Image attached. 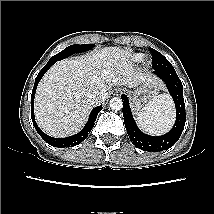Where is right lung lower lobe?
<instances>
[{
	"label": "right lung lower lobe",
	"instance_id": "98d812e1",
	"mask_svg": "<svg viewBox=\"0 0 214 214\" xmlns=\"http://www.w3.org/2000/svg\"><path fill=\"white\" fill-rule=\"evenodd\" d=\"M54 63L55 62H53V61H48V63L41 69V71L39 72V74L37 75V77L35 79V84H34L32 95H31V118H32V122H33V125H34L36 131L43 138V140H45L47 143H49L50 145L55 146V147H72V146L78 145L79 143H81L82 141H84L87 138L89 132L91 131V129L93 128V126L95 124L97 115L101 111L102 106H97L92 110L85 127L79 133H77L73 136H69L66 138H53V137L46 135L44 132H42V130L37 126L35 117H34V108H33L34 95H35V91L37 89L38 83L41 80L42 76Z\"/></svg>",
	"mask_w": 214,
	"mask_h": 214
}]
</instances>
